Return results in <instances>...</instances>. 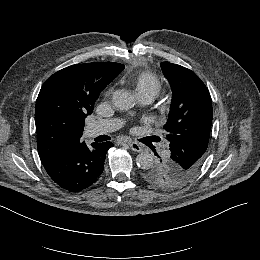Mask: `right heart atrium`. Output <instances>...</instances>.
Returning <instances> with one entry per match:
<instances>
[{
	"label": "right heart atrium",
	"instance_id": "obj_1",
	"mask_svg": "<svg viewBox=\"0 0 260 260\" xmlns=\"http://www.w3.org/2000/svg\"><path fill=\"white\" fill-rule=\"evenodd\" d=\"M111 92H112V90H107V91L105 92V95H106V96H109V95L111 94Z\"/></svg>",
	"mask_w": 260,
	"mask_h": 260
}]
</instances>
